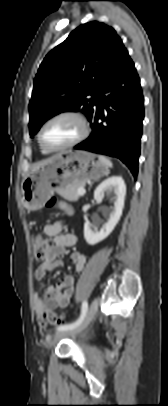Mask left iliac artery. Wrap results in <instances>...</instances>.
I'll list each match as a JSON object with an SVG mask.
<instances>
[{"instance_id": "obj_1", "label": "left iliac artery", "mask_w": 168, "mask_h": 406, "mask_svg": "<svg viewBox=\"0 0 168 406\" xmlns=\"http://www.w3.org/2000/svg\"><path fill=\"white\" fill-rule=\"evenodd\" d=\"M87 310H88V302L85 300L82 303L80 317L73 323H68V324L58 326L57 330L61 331V330H69V329L75 328L76 326H78L83 321V319L86 316Z\"/></svg>"}]
</instances>
